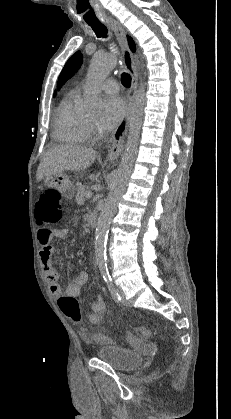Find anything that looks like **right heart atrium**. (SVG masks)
<instances>
[{
	"label": "right heart atrium",
	"mask_w": 231,
	"mask_h": 419,
	"mask_svg": "<svg viewBox=\"0 0 231 419\" xmlns=\"http://www.w3.org/2000/svg\"><path fill=\"white\" fill-rule=\"evenodd\" d=\"M94 131V127L90 126V132Z\"/></svg>",
	"instance_id": "right-heart-atrium-1"
}]
</instances>
